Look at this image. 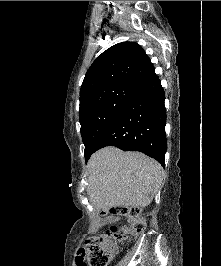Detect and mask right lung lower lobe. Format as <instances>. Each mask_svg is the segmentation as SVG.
Returning a JSON list of instances; mask_svg holds the SVG:
<instances>
[{"instance_id": "1", "label": "right lung lower lobe", "mask_w": 221, "mask_h": 266, "mask_svg": "<svg viewBox=\"0 0 221 266\" xmlns=\"http://www.w3.org/2000/svg\"><path fill=\"white\" fill-rule=\"evenodd\" d=\"M164 90L157 75L143 83L101 137L95 151L116 146L140 151L164 165L167 140Z\"/></svg>"}]
</instances>
